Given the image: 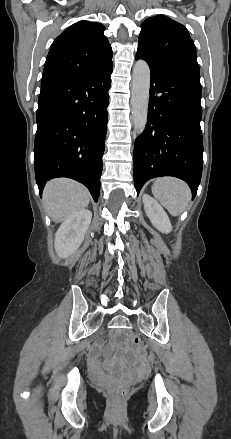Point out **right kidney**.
<instances>
[{"label":"right kidney","instance_id":"obj_1","mask_svg":"<svg viewBox=\"0 0 231 439\" xmlns=\"http://www.w3.org/2000/svg\"><path fill=\"white\" fill-rule=\"evenodd\" d=\"M92 213L82 209L68 217L55 234V250L57 254L66 258L81 245L85 233L91 223Z\"/></svg>","mask_w":231,"mask_h":439}]
</instances>
